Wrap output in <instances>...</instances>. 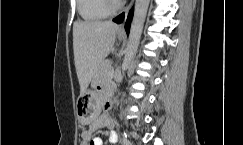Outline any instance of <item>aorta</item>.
<instances>
[{
    "mask_svg": "<svg viewBox=\"0 0 243 145\" xmlns=\"http://www.w3.org/2000/svg\"><path fill=\"white\" fill-rule=\"evenodd\" d=\"M149 2L150 0H136L134 16L128 37L125 57L122 64L123 71L128 69L131 61L136 55L143 31L145 18L147 15V10L149 7Z\"/></svg>",
    "mask_w": 243,
    "mask_h": 145,
    "instance_id": "obj_1",
    "label": "aorta"
}]
</instances>
